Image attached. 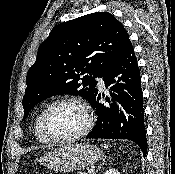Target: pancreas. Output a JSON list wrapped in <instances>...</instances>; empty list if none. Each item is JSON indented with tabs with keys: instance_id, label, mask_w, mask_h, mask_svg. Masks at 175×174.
Segmentation results:
<instances>
[{
	"instance_id": "obj_1",
	"label": "pancreas",
	"mask_w": 175,
	"mask_h": 174,
	"mask_svg": "<svg viewBox=\"0 0 175 174\" xmlns=\"http://www.w3.org/2000/svg\"><path fill=\"white\" fill-rule=\"evenodd\" d=\"M78 174H87L86 172H80V173H78Z\"/></svg>"
}]
</instances>
